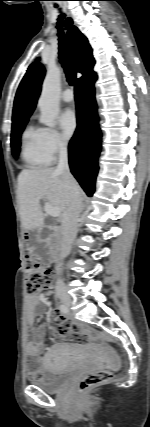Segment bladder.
Returning <instances> with one entry per match:
<instances>
[{"label": "bladder", "instance_id": "1", "mask_svg": "<svg viewBox=\"0 0 150 427\" xmlns=\"http://www.w3.org/2000/svg\"><path fill=\"white\" fill-rule=\"evenodd\" d=\"M44 371V377L41 380L33 381V384L47 393H55L69 382L74 373V368L47 362Z\"/></svg>", "mask_w": 150, "mask_h": 427}]
</instances>
